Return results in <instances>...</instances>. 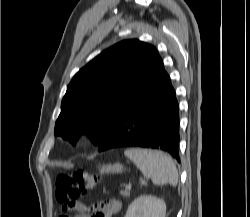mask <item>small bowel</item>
I'll use <instances>...</instances> for the list:
<instances>
[{
	"label": "small bowel",
	"mask_w": 250,
	"mask_h": 217,
	"mask_svg": "<svg viewBox=\"0 0 250 217\" xmlns=\"http://www.w3.org/2000/svg\"><path fill=\"white\" fill-rule=\"evenodd\" d=\"M100 204L102 205L103 217H111L119 213L122 209V202L116 198L110 199ZM67 209L73 211L75 213V217H89L87 216L85 207L83 205H77L74 208Z\"/></svg>",
	"instance_id": "small-bowel-1"
}]
</instances>
